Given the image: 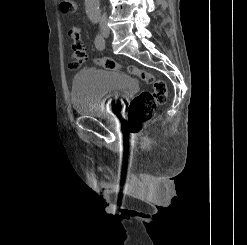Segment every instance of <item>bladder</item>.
<instances>
[{
    "label": "bladder",
    "mask_w": 247,
    "mask_h": 245,
    "mask_svg": "<svg viewBox=\"0 0 247 245\" xmlns=\"http://www.w3.org/2000/svg\"><path fill=\"white\" fill-rule=\"evenodd\" d=\"M136 88V80L126 73L106 68H86L73 79L71 102L78 114L104 117L117 113L125 98Z\"/></svg>",
    "instance_id": "31cf9c89"
}]
</instances>
